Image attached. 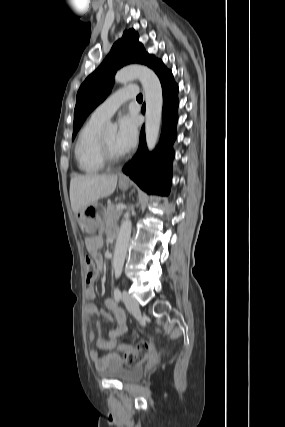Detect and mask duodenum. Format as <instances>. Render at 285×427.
<instances>
[{
  "mask_svg": "<svg viewBox=\"0 0 285 427\" xmlns=\"http://www.w3.org/2000/svg\"><path fill=\"white\" fill-rule=\"evenodd\" d=\"M114 238H115L114 235H111V240H114Z\"/></svg>",
  "mask_w": 285,
  "mask_h": 427,
  "instance_id": "1",
  "label": "duodenum"
}]
</instances>
